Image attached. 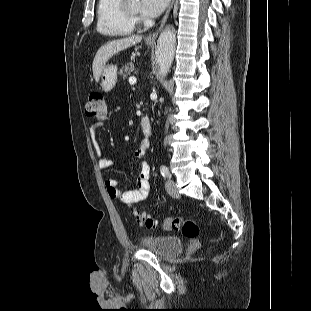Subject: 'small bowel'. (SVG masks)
Segmentation results:
<instances>
[{
	"label": "small bowel",
	"instance_id": "small-bowel-1",
	"mask_svg": "<svg viewBox=\"0 0 311 311\" xmlns=\"http://www.w3.org/2000/svg\"><path fill=\"white\" fill-rule=\"evenodd\" d=\"M103 126V123L98 122L90 126L89 135L93 141L97 162L100 169H109L117 166V161L103 156L101 147L96 140L98 130ZM149 148V140L142 139L139 147L135 151V156L141 160L139 174L136 179V189L129 191H121L118 188L117 181L109 178L105 181L108 195L110 198L117 200L126 205H133L137 202L145 200L150 191V168L143 160Z\"/></svg>",
	"mask_w": 311,
	"mask_h": 311
}]
</instances>
